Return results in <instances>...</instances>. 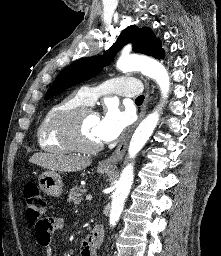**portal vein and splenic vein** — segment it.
Instances as JSON below:
<instances>
[{
    "instance_id": "1",
    "label": "portal vein and splenic vein",
    "mask_w": 221,
    "mask_h": 256,
    "mask_svg": "<svg viewBox=\"0 0 221 256\" xmlns=\"http://www.w3.org/2000/svg\"><path fill=\"white\" fill-rule=\"evenodd\" d=\"M86 200H87V201H91V200H92V196H91V195H87V196H86Z\"/></svg>"
}]
</instances>
